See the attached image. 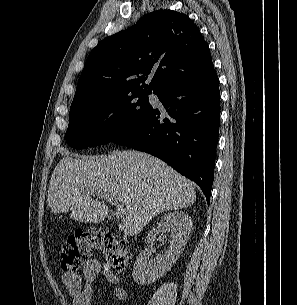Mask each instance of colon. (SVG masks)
<instances>
[{"label": "colon", "instance_id": "1", "mask_svg": "<svg viewBox=\"0 0 297 305\" xmlns=\"http://www.w3.org/2000/svg\"><path fill=\"white\" fill-rule=\"evenodd\" d=\"M94 252L102 253L110 270L117 275L124 273L130 262L123 239L105 230L90 228L68 237L61 250V267L64 271L77 270Z\"/></svg>", "mask_w": 297, "mask_h": 305}]
</instances>
